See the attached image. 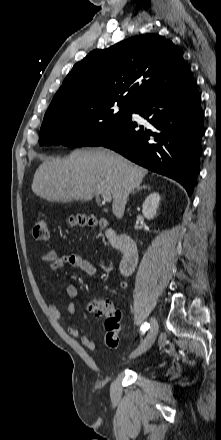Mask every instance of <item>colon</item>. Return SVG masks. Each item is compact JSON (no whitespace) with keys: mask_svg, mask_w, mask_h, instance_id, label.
<instances>
[{"mask_svg":"<svg viewBox=\"0 0 221 440\" xmlns=\"http://www.w3.org/2000/svg\"><path fill=\"white\" fill-rule=\"evenodd\" d=\"M69 223L78 227H93L106 225L105 219H99L92 215L77 214L69 217ZM33 237L40 242L49 239V223L46 219L36 221L33 228ZM91 314H98L105 317V342L110 348H117L121 330V312L107 300H92L86 305Z\"/></svg>","mask_w":221,"mask_h":440,"instance_id":"5ec220e1","label":"colon"}]
</instances>
